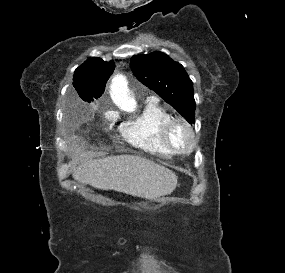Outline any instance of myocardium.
I'll return each instance as SVG.
<instances>
[{
	"label": "myocardium",
	"mask_w": 285,
	"mask_h": 273,
	"mask_svg": "<svg viewBox=\"0 0 285 273\" xmlns=\"http://www.w3.org/2000/svg\"><path fill=\"white\" fill-rule=\"evenodd\" d=\"M177 126H182L189 137V141L185 146H178L172 139L173 130ZM163 139L166 145L174 152L178 154H189L197 146V136L191 123L182 117H172L163 128Z\"/></svg>",
	"instance_id": "myocardium-1"
}]
</instances>
